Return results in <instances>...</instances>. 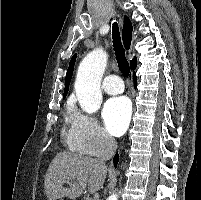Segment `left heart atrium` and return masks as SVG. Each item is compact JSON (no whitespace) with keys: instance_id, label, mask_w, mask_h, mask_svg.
<instances>
[{"instance_id":"1","label":"left heart atrium","mask_w":201,"mask_h":200,"mask_svg":"<svg viewBox=\"0 0 201 200\" xmlns=\"http://www.w3.org/2000/svg\"><path fill=\"white\" fill-rule=\"evenodd\" d=\"M130 117L131 104L126 97L111 98L102 109L105 127L114 136H120L126 131Z\"/></svg>"}]
</instances>
